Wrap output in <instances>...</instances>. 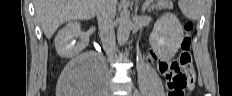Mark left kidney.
I'll use <instances>...</instances> for the list:
<instances>
[{"instance_id": "left-kidney-1", "label": "left kidney", "mask_w": 232, "mask_h": 96, "mask_svg": "<svg viewBox=\"0 0 232 96\" xmlns=\"http://www.w3.org/2000/svg\"><path fill=\"white\" fill-rule=\"evenodd\" d=\"M183 40V29L173 13L162 15L154 24L149 37L151 48L163 60L175 56Z\"/></svg>"}]
</instances>
